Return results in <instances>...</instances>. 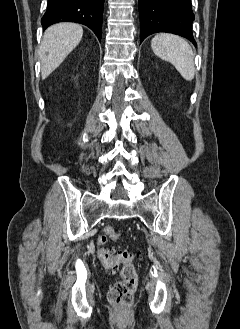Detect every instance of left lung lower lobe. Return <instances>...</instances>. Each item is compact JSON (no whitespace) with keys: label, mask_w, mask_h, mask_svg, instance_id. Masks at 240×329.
Masks as SVG:
<instances>
[{"label":"left lung lower lobe","mask_w":240,"mask_h":329,"mask_svg":"<svg viewBox=\"0 0 240 329\" xmlns=\"http://www.w3.org/2000/svg\"><path fill=\"white\" fill-rule=\"evenodd\" d=\"M140 14V42L157 32L180 35L196 42L192 33L194 14L191 0H138Z\"/></svg>","instance_id":"0a47b994"}]
</instances>
